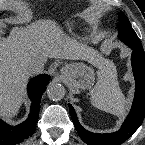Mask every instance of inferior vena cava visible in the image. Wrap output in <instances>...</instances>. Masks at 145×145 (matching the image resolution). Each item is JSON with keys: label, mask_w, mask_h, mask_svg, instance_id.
I'll return each mask as SVG.
<instances>
[{"label": "inferior vena cava", "mask_w": 145, "mask_h": 145, "mask_svg": "<svg viewBox=\"0 0 145 145\" xmlns=\"http://www.w3.org/2000/svg\"><path fill=\"white\" fill-rule=\"evenodd\" d=\"M46 63V60L40 59L36 62L29 63L26 66V70L28 74H38L43 71L44 65Z\"/></svg>", "instance_id": "602c4592"}]
</instances>
